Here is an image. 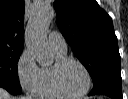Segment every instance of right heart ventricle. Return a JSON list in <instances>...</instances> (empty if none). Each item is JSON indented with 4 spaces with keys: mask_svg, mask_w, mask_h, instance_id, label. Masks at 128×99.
Returning <instances> with one entry per match:
<instances>
[{
    "mask_svg": "<svg viewBox=\"0 0 128 99\" xmlns=\"http://www.w3.org/2000/svg\"><path fill=\"white\" fill-rule=\"evenodd\" d=\"M53 53L56 61L66 58V53L61 54L54 51ZM51 69L52 67H47V66L40 68V79L33 92V94L38 98L60 99L63 97L56 91L53 85Z\"/></svg>",
    "mask_w": 128,
    "mask_h": 99,
    "instance_id": "obj_1",
    "label": "right heart ventricle"
}]
</instances>
